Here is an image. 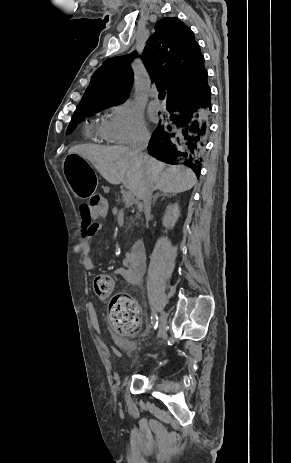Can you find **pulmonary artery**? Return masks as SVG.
Listing matches in <instances>:
<instances>
[{"label": "pulmonary artery", "mask_w": 291, "mask_h": 463, "mask_svg": "<svg viewBox=\"0 0 291 463\" xmlns=\"http://www.w3.org/2000/svg\"><path fill=\"white\" fill-rule=\"evenodd\" d=\"M151 96L153 99L150 101L149 107L155 111L161 110L163 108V105L159 100L156 99L157 94L154 92L151 94Z\"/></svg>", "instance_id": "1"}]
</instances>
